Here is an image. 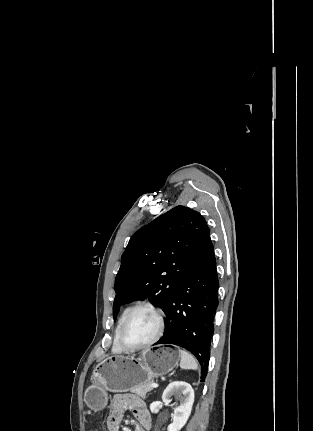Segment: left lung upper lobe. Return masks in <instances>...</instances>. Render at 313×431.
<instances>
[{"label":"left lung upper lobe","instance_id":"1","mask_svg":"<svg viewBox=\"0 0 313 431\" xmlns=\"http://www.w3.org/2000/svg\"><path fill=\"white\" fill-rule=\"evenodd\" d=\"M200 213L177 206L135 232L115 279L113 318L120 306L149 299L163 311L210 240Z\"/></svg>","mask_w":313,"mask_h":431}]
</instances>
